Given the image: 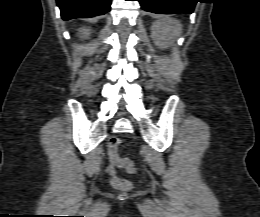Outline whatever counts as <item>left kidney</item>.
I'll list each match as a JSON object with an SVG mask.
<instances>
[{"instance_id":"1","label":"left kidney","mask_w":260,"mask_h":217,"mask_svg":"<svg viewBox=\"0 0 260 217\" xmlns=\"http://www.w3.org/2000/svg\"><path fill=\"white\" fill-rule=\"evenodd\" d=\"M151 36L157 46L160 48L166 46V43L162 40V34L166 31L169 32L171 37H174L176 34L175 29L172 26L165 25L162 22H154L151 28Z\"/></svg>"}]
</instances>
